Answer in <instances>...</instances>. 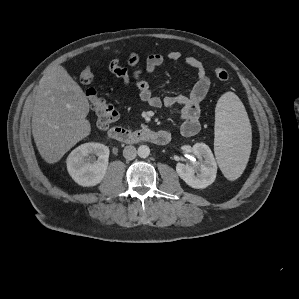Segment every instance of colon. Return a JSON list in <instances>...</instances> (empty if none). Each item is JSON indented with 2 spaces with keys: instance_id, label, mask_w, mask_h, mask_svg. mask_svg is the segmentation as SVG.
<instances>
[{
  "instance_id": "obj_1",
  "label": "colon",
  "mask_w": 299,
  "mask_h": 299,
  "mask_svg": "<svg viewBox=\"0 0 299 299\" xmlns=\"http://www.w3.org/2000/svg\"><path fill=\"white\" fill-rule=\"evenodd\" d=\"M215 76L222 82L229 80L228 72L222 68H217L215 70ZM93 78L94 74L90 67L85 68L79 76L81 84L86 88V96L90 102V106L96 114L97 128L105 131L112 127V124L118 118V113L111 103L100 96L96 90L90 86Z\"/></svg>"
}]
</instances>
